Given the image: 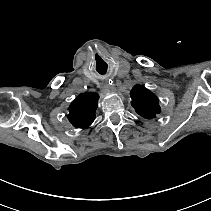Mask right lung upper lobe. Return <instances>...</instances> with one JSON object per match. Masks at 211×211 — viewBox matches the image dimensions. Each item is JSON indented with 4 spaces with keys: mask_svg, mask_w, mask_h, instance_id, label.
<instances>
[{
    "mask_svg": "<svg viewBox=\"0 0 211 211\" xmlns=\"http://www.w3.org/2000/svg\"><path fill=\"white\" fill-rule=\"evenodd\" d=\"M99 96L94 92L80 94L69 106L68 119L76 128H87L95 119Z\"/></svg>",
    "mask_w": 211,
    "mask_h": 211,
    "instance_id": "obj_1",
    "label": "right lung upper lobe"
}]
</instances>
